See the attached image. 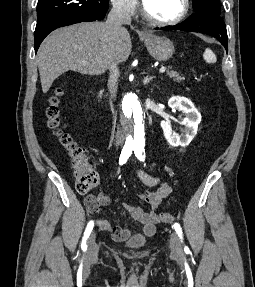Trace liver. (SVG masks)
I'll return each instance as SVG.
<instances>
[{"mask_svg":"<svg viewBox=\"0 0 255 287\" xmlns=\"http://www.w3.org/2000/svg\"><path fill=\"white\" fill-rule=\"evenodd\" d=\"M131 48L127 30L113 34L106 22H82L55 30L41 44L37 56L43 94L68 70L89 76L104 74L113 58L126 62Z\"/></svg>","mask_w":255,"mask_h":287,"instance_id":"obj_1","label":"liver"}]
</instances>
